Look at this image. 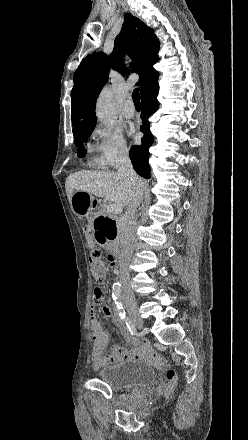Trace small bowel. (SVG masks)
Returning <instances> with one entry per match:
<instances>
[{
	"instance_id": "c3829d8e",
	"label": "small bowel",
	"mask_w": 248,
	"mask_h": 440,
	"mask_svg": "<svg viewBox=\"0 0 248 440\" xmlns=\"http://www.w3.org/2000/svg\"><path fill=\"white\" fill-rule=\"evenodd\" d=\"M111 270L114 272L116 269L113 267ZM94 303L102 308L105 315L116 323L125 336L124 346H114L108 353H105L108 343V334L104 331L97 318L95 307H92L89 318L93 341L91 360L94 369H100L104 366L130 359H146L156 365L161 364L160 356L151 348L147 339L143 338L141 341L136 342L128 336L119 314L111 303L105 299V295L102 300L95 299L94 296Z\"/></svg>"
}]
</instances>
